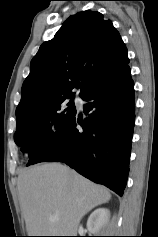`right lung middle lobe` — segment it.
<instances>
[{
  "instance_id": "dd1d6c3e",
  "label": "right lung middle lobe",
  "mask_w": 158,
  "mask_h": 237,
  "mask_svg": "<svg viewBox=\"0 0 158 237\" xmlns=\"http://www.w3.org/2000/svg\"><path fill=\"white\" fill-rule=\"evenodd\" d=\"M58 99L32 114L17 117L14 140L32 158L40 147L76 113L73 99Z\"/></svg>"
}]
</instances>
